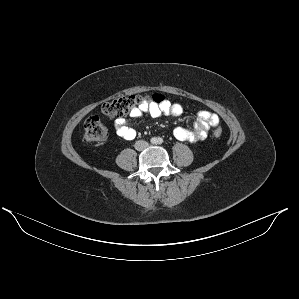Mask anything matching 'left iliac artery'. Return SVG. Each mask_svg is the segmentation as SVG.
Segmentation results:
<instances>
[{
    "label": "left iliac artery",
    "instance_id": "obj_1",
    "mask_svg": "<svg viewBox=\"0 0 299 299\" xmlns=\"http://www.w3.org/2000/svg\"><path fill=\"white\" fill-rule=\"evenodd\" d=\"M157 143H158V144H162V143H163V139H162V138H158V139H157Z\"/></svg>",
    "mask_w": 299,
    "mask_h": 299
}]
</instances>
